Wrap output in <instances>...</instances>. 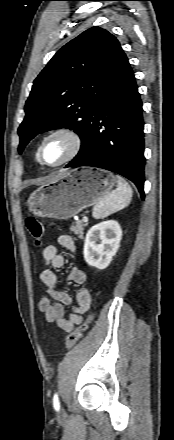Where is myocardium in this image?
I'll return each mask as SVG.
<instances>
[{
  "label": "myocardium",
  "instance_id": "obj_1",
  "mask_svg": "<svg viewBox=\"0 0 174 440\" xmlns=\"http://www.w3.org/2000/svg\"><path fill=\"white\" fill-rule=\"evenodd\" d=\"M56 136L65 137L69 141L70 148L66 156L60 162L56 164H47L42 159V149L47 140ZM82 147H83L82 136L76 129L69 126H60L49 131L46 135H44V137L41 139L37 147L36 157L41 165L49 168H57L64 164L69 163L74 158H76L80 153Z\"/></svg>",
  "mask_w": 174,
  "mask_h": 440
}]
</instances>
